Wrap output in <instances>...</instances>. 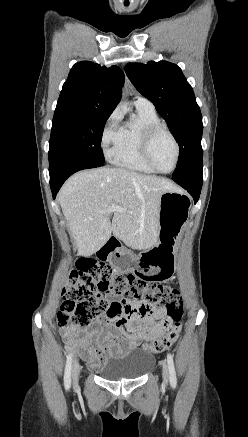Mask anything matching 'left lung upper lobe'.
<instances>
[{"mask_svg": "<svg viewBox=\"0 0 248 437\" xmlns=\"http://www.w3.org/2000/svg\"><path fill=\"white\" fill-rule=\"evenodd\" d=\"M125 72L136 89L148 98L167 122L180 155L173 178L202 172V115L194 92L181 69L167 61L128 63Z\"/></svg>", "mask_w": 248, "mask_h": 437, "instance_id": "1", "label": "left lung upper lobe"}]
</instances>
